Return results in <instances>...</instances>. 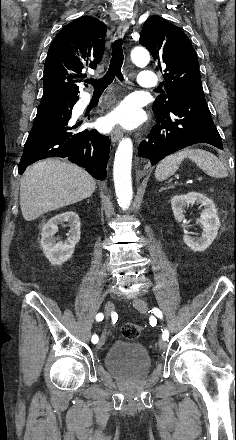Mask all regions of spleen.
I'll return each instance as SVG.
<instances>
[{"label": "spleen", "mask_w": 236, "mask_h": 440, "mask_svg": "<svg viewBox=\"0 0 236 440\" xmlns=\"http://www.w3.org/2000/svg\"><path fill=\"white\" fill-rule=\"evenodd\" d=\"M186 158L212 177L222 178L228 175L224 164L212 153L202 149H185L163 159L156 167L155 178L164 181L178 170Z\"/></svg>", "instance_id": "obj_1"}]
</instances>
